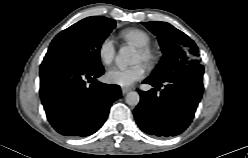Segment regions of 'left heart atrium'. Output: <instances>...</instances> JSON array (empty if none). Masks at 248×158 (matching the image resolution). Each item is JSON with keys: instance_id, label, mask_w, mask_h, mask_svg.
Here are the masks:
<instances>
[{"instance_id": "1", "label": "left heart atrium", "mask_w": 248, "mask_h": 158, "mask_svg": "<svg viewBox=\"0 0 248 158\" xmlns=\"http://www.w3.org/2000/svg\"><path fill=\"white\" fill-rule=\"evenodd\" d=\"M145 75V67L142 63H136L130 67H114L107 71L106 81L113 85L129 86L142 79Z\"/></svg>"}]
</instances>
